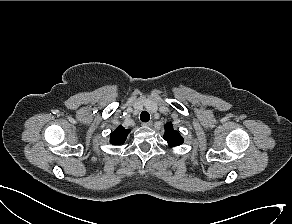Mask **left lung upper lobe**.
Segmentation results:
<instances>
[{"mask_svg": "<svg viewBox=\"0 0 292 224\" xmlns=\"http://www.w3.org/2000/svg\"><path fill=\"white\" fill-rule=\"evenodd\" d=\"M164 139L168 142V144L171 147L179 146L184 141L179 132L174 130L173 125L171 123H167L165 125Z\"/></svg>", "mask_w": 292, "mask_h": 224, "instance_id": "5c2ea615", "label": "left lung upper lobe"}]
</instances>
